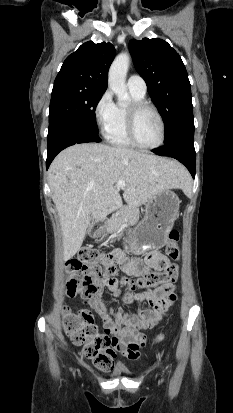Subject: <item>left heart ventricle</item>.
Instances as JSON below:
<instances>
[{
    "label": "left heart ventricle",
    "mask_w": 233,
    "mask_h": 413,
    "mask_svg": "<svg viewBox=\"0 0 233 413\" xmlns=\"http://www.w3.org/2000/svg\"><path fill=\"white\" fill-rule=\"evenodd\" d=\"M136 134L143 145L152 146L159 142L161 126L153 111L147 109L140 113L136 124Z\"/></svg>",
    "instance_id": "obj_1"
}]
</instances>
